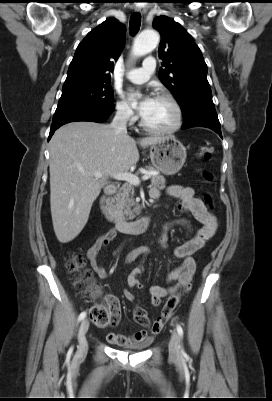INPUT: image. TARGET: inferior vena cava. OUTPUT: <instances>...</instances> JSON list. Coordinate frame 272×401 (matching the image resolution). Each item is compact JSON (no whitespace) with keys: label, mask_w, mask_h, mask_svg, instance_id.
<instances>
[{"label":"inferior vena cava","mask_w":272,"mask_h":401,"mask_svg":"<svg viewBox=\"0 0 272 401\" xmlns=\"http://www.w3.org/2000/svg\"><path fill=\"white\" fill-rule=\"evenodd\" d=\"M129 115H130V113L127 110L117 111L114 119L112 120V122L110 124L111 128H113V130L116 134H120V135H124V136L128 135L126 124H127Z\"/></svg>","instance_id":"602c4592"}]
</instances>
